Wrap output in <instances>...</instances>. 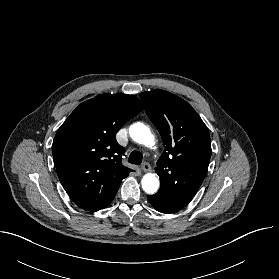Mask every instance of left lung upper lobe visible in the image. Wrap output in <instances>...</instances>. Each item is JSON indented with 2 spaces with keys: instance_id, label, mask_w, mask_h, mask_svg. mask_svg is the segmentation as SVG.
<instances>
[{
  "instance_id": "1",
  "label": "left lung upper lobe",
  "mask_w": 279,
  "mask_h": 279,
  "mask_svg": "<svg viewBox=\"0 0 279 279\" xmlns=\"http://www.w3.org/2000/svg\"><path fill=\"white\" fill-rule=\"evenodd\" d=\"M145 111L161 134L165 150L157 161L159 192L193 198L208 171L209 131L186 101L164 91L143 92Z\"/></svg>"
}]
</instances>
